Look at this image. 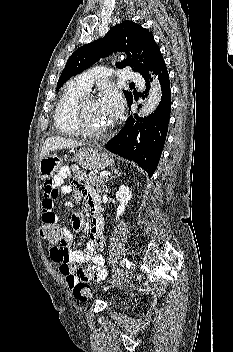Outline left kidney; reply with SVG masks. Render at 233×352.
Returning <instances> with one entry per match:
<instances>
[{
  "label": "left kidney",
  "mask_w": 233,
  "mask_h": 352,
  "mask_svg": "<svg viewBox=\"0 0 233 352\" xmlns=\"http://www.w3.org/2000/svg\"><path fill=\"white\" fill-rule=\"evenodd\" d=\"M132 198V192L128 186L122 185L119 191L116 193V199L119 201V206L116 212V220L119 219V216H122L125 212V206H127L128 201Z\"/></svg>",
  "instance_id": "obj_1"
}]
</instances>
